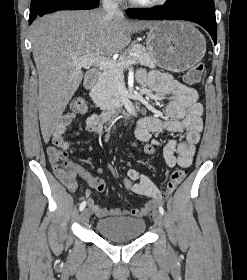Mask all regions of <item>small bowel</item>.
Instances as JSON below:
<instances>
[{"mask_svg":"<svg viewBox=\"0 0 247 280\" xmlns=\"http://www.w3.org/2000/svg\"><path fill=\"white\" fill-rule=\"evenodd\" d=\"M137 80L154 92L171 97L165 108L164 116L152 115L142 118L138 122L135 130L137 140L152 143L155 149L162 147L163 157L168 167H189L192 164L196 144L200 140L203 128V107L198 102L196 90L176 81L171 75L158 71L147 72L140 69L137 72ZM75 118L76 115L73 113L65 114L53 130L52 142L63 151L73 152L69 142L65 139V133ZM84 128L89 133L99 136L103 133L104 122L98 114H92L85 120ZM164 131L172 134H184L185 140L178 143L175 139L161 140L153 137V134ZM73 167L72 178L61 179L68 190L74 192L77 189L76 177H80L96 191H104L105 183L98 175L91 174L78 164H73ZM127 176L133 181V186L128 189L134 194L150 198L151 201L142 208L107 209L101 207L90 197L89 190H85L84 196L87 197L88 207L97 217L130 215L134 218H141L151 211L156 201L161 200L162 195L159 188L149 177L135 169H130Z\"/></svg>","mask_w":247,"mask_h":280,"instance_id":"small-bowel-1","label":"small bowel"}]
</instances>
